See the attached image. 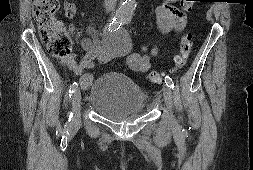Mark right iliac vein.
I'll return each instance as SVG.
<instances>
[{
    "label": "right iliac vein",
    "mask_w": 253,
    "mask_h": 170,
    "mask_svg": "<svg viewBox=\"0 0 253 170\" xmlns=\"http://www.w3.org/2000/svg\"><path fill=\"white\" fill-rule=\"evenodd\" d=\"M72 108L74 112L73 124L77 125L80 122L81 116V92L79 89H76L72 96Z\"/></svg>",
    "instance_id": "right-iliac-vein-1"
}]
</instances>
